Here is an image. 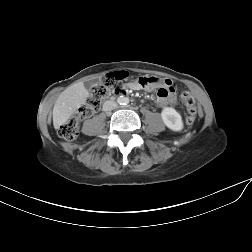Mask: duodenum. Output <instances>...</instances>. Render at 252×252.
I'll return each mask as SVG.
<instances>
[{"mask_svg":"<svg viewBox=\"0 0 252 252\" xmlns=\"http://www.w3.org/2000/svg\"><path fill=\"white\" fill-rule=\"evenodd\" d=\"M113 95H126L124 91H116Z\"/></svg>","mask_w":252,"mask_h":252,"instance_id":"410a0bca","label":"duodenum"}]
</instances>
